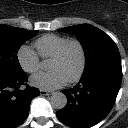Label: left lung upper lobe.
<instances>
[{"instance_id": "5c2ea615", "label": "left lung upper lobe", "mask_w": 128, "mask_h": 128, "mask_svg": "<svg viewBox=\"0 0 128 128\" xmlns=\"http://www.w3.org/2000/svg\"><path fill=\"white\" fill-rule=\"evenodd\" d=\"M59 31L76 34L85 52L84 72L104 60H121L115 42L102 30L92 25H75Z\"/></svg>"}]
</instances>
